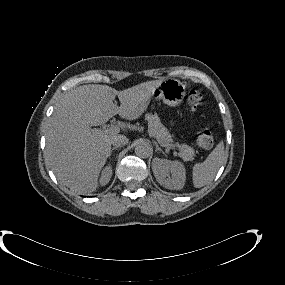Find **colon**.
Returning a JSON list of instances; mask_svg holds the SVG:
<instances>
[{
    "label": "colon",
    "instance_id": "5ec220e1",
    "mask_svg": "<svg viewBox=\"0 0 285 285\" xmlns=\"http://www.w3.org/2000/svg\"><path fill=\"white\" fill-rule=\"evenodd\" d=\"M187 104L191 110H198L204 104V96L197 90H192L188 94ZM197 142L203 149L209 150L214 146V137L210 129H202L197 135Z\"/></svg>",
    "mask_w": 285,
    "mask_h": 285
}]
</instances>
